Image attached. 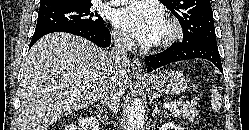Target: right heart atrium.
<instances>
[{
  "instance_id": "right-heart-atrium-1",
  "label": "right heart atrium",
  "mask_w": 249,
  "mask_h": 130,
  "mask_svg": "<svg viewBox=\"0 0 249 130\" xmlns=\"http://www.w3.org/2000/svg\"><path fill=\"white\" fill-rule=\"evenodd\" d=\"M112 34H113L115 41L118 44H120L122 46H129L130 45V43H131L130 38L126 34L119 32L117 30H113Z\"/></svg>"
}]
</instances>
